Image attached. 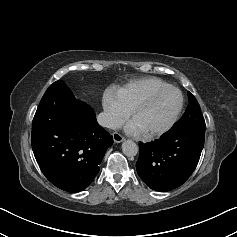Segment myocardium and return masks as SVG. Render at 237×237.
I'll list each match as a JSON object with an SVG mask.
<instances>
[{
  "label": "myocardium",
  "mask_w": 237,
  "mask_h": 237,
  "mask_svg": "<svg viewBox=\"0 0 237 237\" xmlns=\"http://www.w3.org/2000/svg\"><path fill=\"white\" fill-rule=\"evenodd\" d=\"M169 90L176 91L179 94L180 103H179V106H178L176 112L174 113L172 118L169 120V122L165 126L159 128L157 130L141 132L143 137H145V138H153V137L161 136V135L165 134L166 132H168L177 123V121L179 120L180 115H181V113L183 111V108H184V96H183V93L177 87L169 85L167 87L160 88V89H157V90H155L153 92H150L149 94L144 96L142 99H140L137 103H135V105L131 108V110H130V119L132 120L139 110H141L146 105H148L156 97H158L159 95H161V94H163V93H165V92H167Z\"/></svg>",
  "instance_id": "f54148a6"
}]
</instances>
